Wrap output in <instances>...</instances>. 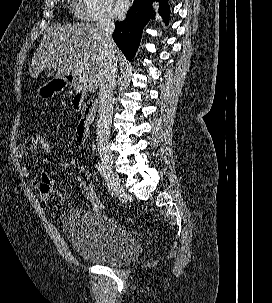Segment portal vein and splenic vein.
Returning a JSON list of instances; mask_svg holds the SVG:
<instances>
[{
    "label": "portal vein and splenic vein",
    "instance_id": "obj_1",
    "mask_svg": "<svg viewBox=\"0 0 272 303\" xmlns=\"http://www.w3.org/2000/svg\"><path fill=\"white\" fill-rule=\"evenodd\" d=\"M89 81L88 76L84 74H79V82L82 84H87Z\"/></svg>",
    "mask_w": 272,
    "mask_h": 303
}]
</instances>
